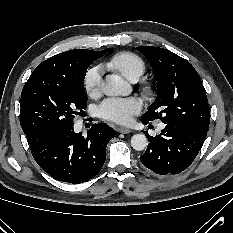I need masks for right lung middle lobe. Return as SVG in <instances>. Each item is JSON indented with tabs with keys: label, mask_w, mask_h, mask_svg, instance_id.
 I'll return each instance as SVG.
<instances>
[{
	"label": "right lung middle lobe",
	"mask_w": 233,
	"mask_h": 233,
	"mask_svg": "<svg viewBox=\"0 0 233 233\" xmlns=\"http://www.w3.org/2000/svg\"><path fill=\"white\" fill-rule=\"evenodd\" d=\"M97 59L82 56L73 60L71 71L65 76L31 74L20 104V124L30 145L53 131L73 126L75 115L84 112V78L89 65Z\"/></svg>",
	"instance_id": "right-lung-middle-lobe-1"
}]
</instances>
